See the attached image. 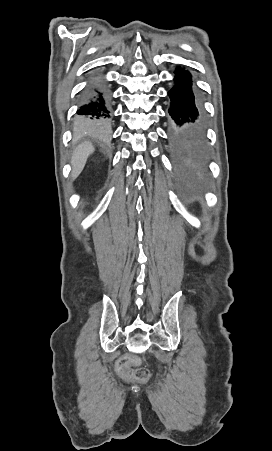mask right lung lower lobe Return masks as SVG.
Instances as JSON below:
<instances>
[{
  "label": "right lung lower lobe",
  "instance_id": "98d812e1",
  "mask_svg": "<svg viewBox=\"0 0 272 451\" xmlns=\"http://www.w3.org/2000/svg\"><path fill=\"white\" fill-rule=\"evenodd\" d=\"M77 115H79L77 124L83 130L91 132L107 130L113 118L106 89L98 85L87 87Z\"/></svg>",
  "mask_w": 272,
  "mask_h": 451
}]
</instances>
